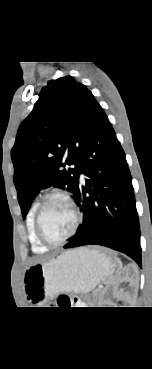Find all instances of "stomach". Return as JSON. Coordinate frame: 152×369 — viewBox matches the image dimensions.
<instances>
[{
  "instance_id": "0dacf381",
  "label": "stomach",
  "mask_w": 152,
  "mask_h": 369,
  "mask_svg": "<svg viewBox=\"0 0 152 369\" xmlns=\"http://www.w3.org/2000/svg\"><path fill=\"white\" fill-rule=\"evenodd\" d=\"M115 270L111 259L87 248L69 250L24 272V290L30 303H44L59 293H88Z\"/></svg>"
}]
</instances>
